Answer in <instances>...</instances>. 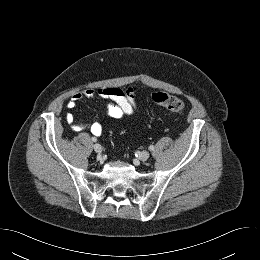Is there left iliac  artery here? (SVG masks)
I'll list each match as a JSON object with an SVG mask.
<instances>
[{
	"label": "left iliac artery",
	"instance_id": "obj_1",
	"mask_svg": "<svg viewBox=\"0 0 260 260\" xmlns=\"http://www.w3.org/2000/svg\"><path fill=\"white\" fill-rule=\"evenodd\" d=\"M149 150H150V151L154 150V146H153V145H150V146H149Z\"/></svg>",
	"mask_w": 260,
	"mask_h": 260
}]
</instances>
